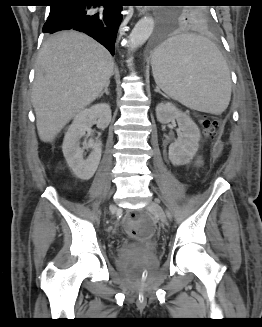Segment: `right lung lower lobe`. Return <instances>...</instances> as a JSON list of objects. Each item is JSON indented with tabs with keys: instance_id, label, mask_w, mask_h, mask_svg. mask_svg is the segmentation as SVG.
I'll use <instances>...</instances> for the list:
<instances>
[{
	"instance_id": "98d812e1",
	"label": "right lung lower lobe",
	"mask_w": 262,
	"mask_h": 327,
	"mask_svg": "<svg viewBox=\"0 0 262 327\" xmlns=\"http://www.w3.org/2000/svg\"><path fill=\"white\" fill-rule=\"evenodd\" d=\"M50 13L43 26L44 33L74 29L84 32L105 46L114 55V45L120 24L119 5H106L103 11L96 6H80L74 0H52Z\"/></svg>"
}]
</instances>
